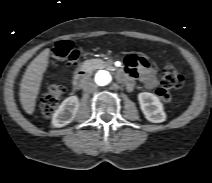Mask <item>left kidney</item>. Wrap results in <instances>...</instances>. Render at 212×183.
<instances>
[{
  "label": "left kidney",
  "mask_w": 212,
  "mask_h": 183,
  "mask_svg": "<svg viewBox=\"0 0 212 183\" xmlns=\"http://www.w3.org/2000/svg\"><path fill=\"white\" fill-rule=\"evenodd\" d=\"M138 100L141 111L148 121L161 123L166 120L163 104L156 95L148 92H141L138 94Z\"/></svg>",
  "instance_id": "1"
}]
</instances>
